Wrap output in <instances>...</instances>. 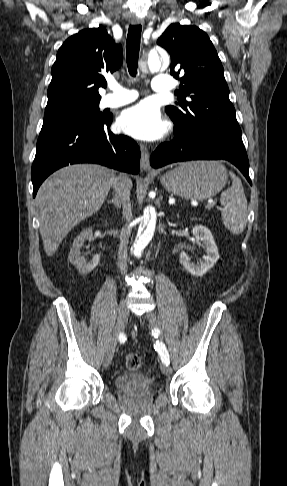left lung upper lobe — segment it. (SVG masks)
Masks as SVG:
<instances>
[{
    "mask_svg": "<svg viewBox=\"0 0 287 486\" xmlns=\"http://www.w3.org/2000/svg\"><path fill=\"white\" fill-rule=\"evenodd\" d=\"M157 42L169 52L171 74L181 82L178 102L165 108L176 127L241 139L223 66L208 35L196 26L173 23Z\"/></svg>",
    "mask_w": 287,
    "mask_h": 486,
    "instance_id": "5c2ea615",
    "label": "left lung upper lobe"
}]
</instances>
